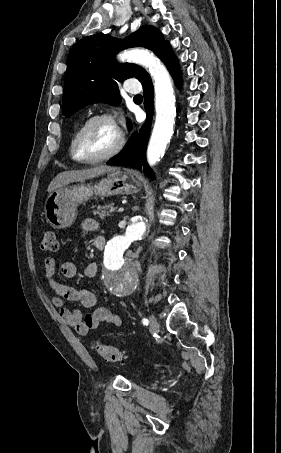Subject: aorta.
<instances>
[{
	"mask_svg": "<svg viewBox=\"0 0 281 453\" xmlns=\"http://www.w3.org/2000/svg\"><path fill=\"white\" fill-rule=\"evenodd\" d=\"M118 60L143 66L154 81L156 118L147 147V161L154 166L164 156L175 124V95L170 74L164 64L146 49L126 50L118 56ZM145 233L146 225L137 216L124 235L113 237L105 247L103 281L107 290L116 297L130 295L138 283L135 267L123 254L132 242L141 240Z\"/></svg>",
	"mask_w": 281,
	"mask_h": 453,
	"instance_id": "aorta-1",
	"label": "aorta"
}]
</instances>
